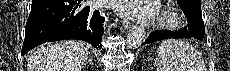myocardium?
<instances>
[{
	"instance_id": "1",
	"label": "myocardium",
	"mask_w": 230,
	"mask_h": 71,
	"mask_svg": "<svg viewBox=\"0 0 230 71\" xmlns=\"http://www.w3.org/2000/svg\"><path fill=\"white\" fill-rule=\"evenodd\" d=\"M157 11L153 24L158 29L172 30L183 23L182 14L172 6L158 7Z\"/></svg>"
}]
</instances>
